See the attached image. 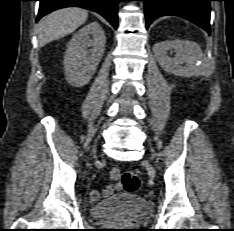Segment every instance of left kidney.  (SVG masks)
Returning <instances> with one entry per match:
<instances>
[{
    "instance_id": "5707ae66",
    "label": "left kidney",
    "mask_w": 234,
    "mask_h": 231,
    "mask_svg": "<svg viewBox=\"0 0 234 231\" xmlns=\"http://www.w3.org/2000/svg\"><path fill=\"white\" fill-rule=\"evenodd\" d=\"M153 51L160 66L178 76H208L214 70L213 62L204 57L200 46L189 40H166L154 45ZM167 51L175 52L174 58Z\"/></svg>"
}]
</instances>
